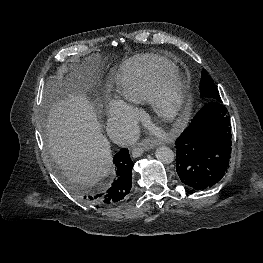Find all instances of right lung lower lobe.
<instances>
[{
  "label": "right lung lower lobe",
  "mask_w": 263,
  "mask_h": 263,
  "mask_svg": "<svg viewBox=\"0 0 263 263\" xmlns=\"http://www.w3.org/2000/svg\"><path fill=\"white\" fill-rule=\"evenodd\" d=\"M116 166V178L112 186L101 194H87L84 196L89 202L104 206L114 205L123 200L131 189L133 162L127 149L122 148L113 158Z\"/></svg>",
  "instance_id": "98d812e1"
}]
</instances>
